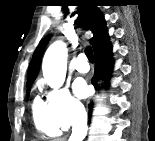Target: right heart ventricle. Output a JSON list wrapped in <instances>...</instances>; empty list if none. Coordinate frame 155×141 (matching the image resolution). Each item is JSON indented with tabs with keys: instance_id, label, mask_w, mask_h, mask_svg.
I'll return each instance as SVG.
<instances>
[{
	"instance_id": "e07e8e85",
	"label": "right heart ventricle",
	"mask_w": 155,
	"mask_h": 141,
	"mask_svg": "<svg viewBox=\"0 0 155 141\" xmlns=\"http://www.w3.org/2000/svg\"><path fill=\"white\" fill-rule=\"evenodd\" d=\"M32 113L37 130L47 136H58L60 127L54 120L46 102L36 97L32 104Z\"/></svg>"
}]
</instances>
